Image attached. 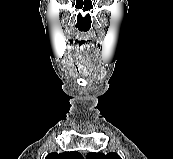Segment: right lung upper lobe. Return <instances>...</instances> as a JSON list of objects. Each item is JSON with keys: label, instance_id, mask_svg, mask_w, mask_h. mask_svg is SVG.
<instances>
[{"label": "right lung upper lobe", "instance_id": "cb5924a9", "mask_svg": "<svg viewBox=\"0 0 173 159\" xmlns=\"http://www.w3.org/2000/svg\"><path fill=\"white\" fill-rule=\"evenodd\" d=\"M45 159H83L82 155L78 152H63V153H50Z\"/></svg>", "mask_w": 173, "mask_h": 159}]
</instances>
